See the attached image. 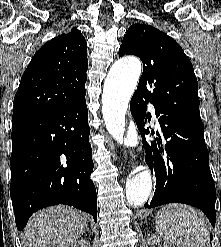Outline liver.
Listing matches in <instances>:
<instances>
[{
    "label": "liver",
    "instance_id": "liver-1",
    "mask_svg": "<svg viewBox=\"0 0 221 247\" xmlns=\"http://www.w3.org/2000/svg\"><path fill=\"white\" fill-rule=\"evenodd\" d=\"M87 224V216L72 207H48L30 218L22 243L24 247H69L85 232Z\"/></svg>",
    "mask_w": 221,
    "mask_h": 247
}]
</instances>
